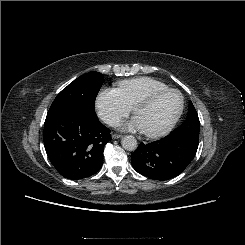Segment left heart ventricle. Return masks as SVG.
I'll list each match as a JSON object with an SVG mask.
<instances>
[{
  "label": "left heart ventricle",
  "instance_id": "b2bd125f",
  "mask_svg": "<svg viewBox=\"0 0 245 245\" xmlns=\"http://www.w3.org/2000/svg\"><path fill=\"white\" fill-rule=\"evenodd\" d=\"M179 107L178 94L166 93L147 105L139 106L135 118L144 132H154L164 128L174 118Z\"/></svg>",
  "mask_w": 245,
  "mask_h": 245
}]
</instances>
